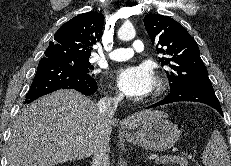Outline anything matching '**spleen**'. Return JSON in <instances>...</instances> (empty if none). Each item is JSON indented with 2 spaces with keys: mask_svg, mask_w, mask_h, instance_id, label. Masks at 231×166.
Masks as SVG:
<instances>
[{
  "mask_svg": "<svg viewBox=\"0 0 231 166\" xmlns=\"http://www.w3.org/2000/svg\"><path fill=\"white\" fill-rule=\"evenodd\" d=\"M204 166H231L227 145L221 133L214 130L203 153Z\"/></svg>",
  "mask_w": 231,
  "mask_h": 166,
  "instance_id": "1",
  "label": "spleen"
}]
</instances>
